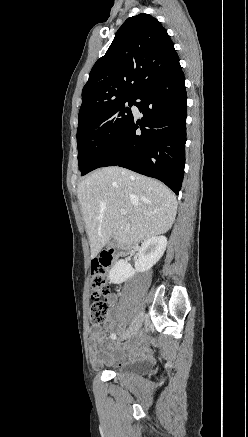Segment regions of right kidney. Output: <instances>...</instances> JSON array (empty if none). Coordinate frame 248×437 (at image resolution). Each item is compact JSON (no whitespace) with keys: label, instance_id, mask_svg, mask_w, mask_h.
Returning <instances> with one entry per match:
<instances>
[{"label":"right kidney","instance_id":"right-kidney-1","mask_svg":"<svg viewBox=\"0 0 248 437\" xmlns=\"http://www.w3.org/2000/svg\"><path fill=\"white\" fill-rule=\"evenodd\" d=\"M166 247L167 238L165 236H155L145 240L138 251L135 268L127 261L119 260L109 272L110 282L120 284L133 277L135 273L148 271L160 260Z\"/></svg>","mask_w":248,"mask_h":437}]
</instances>
